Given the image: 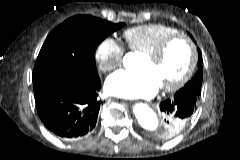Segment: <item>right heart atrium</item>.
Returning a JSON list of instances; mask_svg holds the SVG:
<instances>
[{"label": "right heart atrium", "instance_id": "right-heart-atrium-1", "mask_svg": "<svg viewBox=\"0 0 240 160\" xmlns=\"http://www.w3.org/2000/svg\"><path fill=\"white\" fill-rule=\"evenodd\" d=\"M124 52V47L115 39L110 37L103 39L95 51L99 69L103 73L116 70L122 64Z\"/></svg>", "mask_w": 240, "mask_h": 160}]
</instances>
